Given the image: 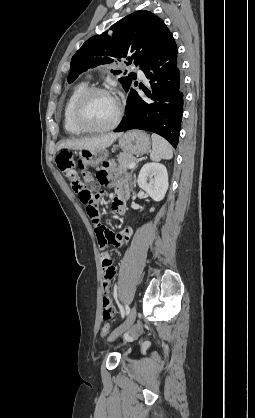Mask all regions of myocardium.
I'll return each instance as SVG.
<instances>
[{"mask_svg": "<svg viewBox=\"0 0 255 418\" xmlns=\"http://www.w3.org/2000/svg\"><path fill=\"white\" fill-rule=\"evenodd\" d=\"M97 93H102V94H106L112 97L111 93L103 87H98V86H92V87H88L86 90H84L80 96L77 98L75 104H74V108H73V112H72V120L73 123L75 124L76 127H78L80 130H82L83 132H87V133H104V132H108L110 130H113L119 123L120 119H121V115H122V108L120 106V104L118 102H116L117 104V110H116V114L114 119L112 120V122L106 126L103 127H95V126H91L89 125L85 119H84V108H85V104L87 102V100L94 94Z\"/></svg>", "mask_w": 255, "mask_h": 418, "instance_id": "obj_1", "label": "myocardium"}]
</instances>
